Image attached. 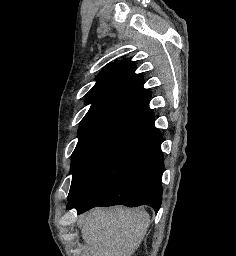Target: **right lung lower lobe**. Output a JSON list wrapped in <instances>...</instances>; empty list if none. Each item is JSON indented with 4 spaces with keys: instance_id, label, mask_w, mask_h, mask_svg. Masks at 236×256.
<instances>
[{
    "instance_id": "obj_1",
    "label": "right lung lower lobe",
    "mask_w": 236,
    "mask_h": 256,
    "mask_svg": "<svg viewBox=\"0 0 236 256\" xmlns=\"http://www.w3.org/2000/svg\"><path fill=\"white\" fill-rule=\"evenodd\" d=\"M162 135L154 126L106 162L69 200L78 214L96 206L150 205L157 213L162 201L164 168Z\"/></svg>"
}]
</instances>
